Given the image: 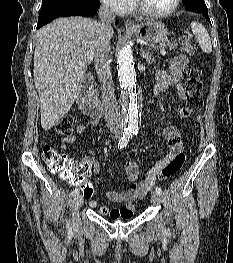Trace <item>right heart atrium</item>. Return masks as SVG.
Returning a JSON list of instances; mask_svg holds the SVG:
<instances>
[{"instance_id":"right-heart-atrium-1","label":"right heart atrium","mask_w":233,"mask_h":263,"mask_svg":"<svg viewBox=\"0 0 233 263\" xmlns=\"http://www.w3.org/2000/svg\"><path fill=\"white\" fill-rule=\"evenodd\" d=\"M112 11L121 14L130 8V0H101Z\"/></svg>"}]
</instances>
